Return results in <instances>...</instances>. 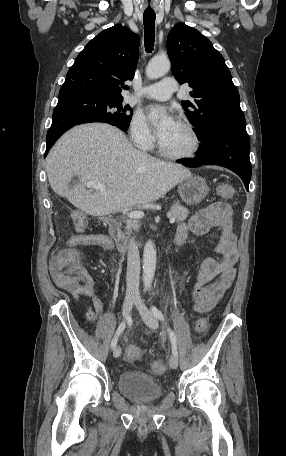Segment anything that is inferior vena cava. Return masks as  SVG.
<instances>
[{"label": "inferior vena cava", "instance_id": "obj_1", "mask_svg": "<svg viewBox=\"0 0 286 456\" xmlns=\"http://www.w3.org/2000/svg\"><path fill=\"white\" fill-rule=\"evenodd\" d=\"M140 255L134 239L129 241L127 254L126 296L139 297Z\"/></svg>", "mask_w": 286, "mask_h": 456}]
</instances>
